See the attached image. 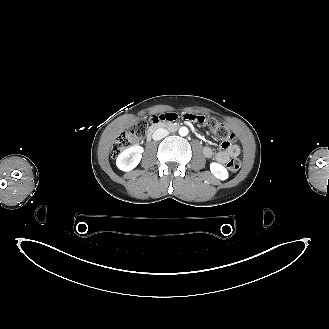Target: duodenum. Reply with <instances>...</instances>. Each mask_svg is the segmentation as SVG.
I'll return each mask as SVG.
<instances>
[{"mask_svg": "<svg viewBox=\"0 0 329 329\" xmlns=\"http://www.w3.org/2000/svg\"><path fill=\"white\" fill-rule=\"evenodd\" d=\"M161 127L168 128V129H171V130L177 129V125H175L171 122H167L166 120L164 122H161L157 117H152L151 121H150V127L147 131V134H146V140L150 141L151 137H152V134L158 128H161Z\"/></svg>", "mask_w": 329, "mask_h": 329, "instance_id": "1", "label": "duodenum"}]
</instances>
